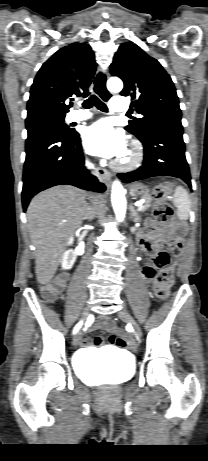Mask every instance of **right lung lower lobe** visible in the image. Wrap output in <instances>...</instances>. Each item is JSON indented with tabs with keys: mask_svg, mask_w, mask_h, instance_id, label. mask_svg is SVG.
<instances>
[{
	"mask_svg": "<svg viewBox=\"0 0 208 461\" xmlns=\"http://www.w3.org/2000/svg\"><path fill=\"white\" fill-rule=\"evenodd\" d=\"M22 204L25 211L38 192L59 184L104 192L106 187L84 166L81 140L76 131L47 130L26 140Z\"/></svg>",
	"mask_w": 208,
	"mask_h": 461,
	"instance_id": "1",
	"label": "right lung lower lobe"
}]
</instances>
